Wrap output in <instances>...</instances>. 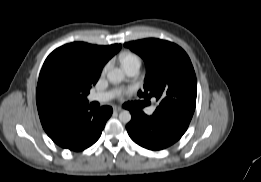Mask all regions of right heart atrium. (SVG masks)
<instances>
[{
    "label": "right heart atrium",
    "mask_w": 261,
    "mask_h": 182,
    "mask_svg": "<svg viewBox=\"0 0 261 182\" xmlns=\"http://www.w3.org/2000/svg\"><path fill=\"white\" fill-rule=\"evenodd\" d=\"M105 71H106V67L103 68V71H102V72L105 73Z\"/></svg>",
    "instance_id": "obj_1"
}]
</instances>
